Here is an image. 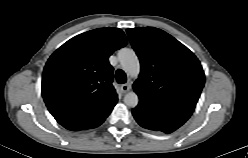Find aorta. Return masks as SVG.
Instances as JSON below:
<instances>
[{"mask_svg": "<svg viewBox=\"0 0 248 158\" xmlns=\"http://www.w3.org/2000/svg\"><path fill=\"white\" fill-rule=\"evenodd\" d=\"M118 58L123 70L131 77L138 76L140 72L139 59L133 49L122 48L118 52ZM138 95L131 91L124 96V103L129 107H136L138 105Z\"/></svg>", "mask_w": 248, "mask_h": 158, "instance_id": "aorta-1", "label": "aorta"}]
</instances>
